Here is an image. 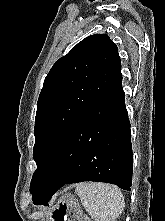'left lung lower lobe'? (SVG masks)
<instances>
[{"label":"left lung lower lobe","mask_w":165,"mask_h":221,"mask_svg":"<svg viewBox=\"0 0 165 221\" xmlns=\"http://www.w3.org/2000/svg\"><path fill=\"white\" fill-rule=\"evenodd\" d=\"M133 156L122 75L71 128L57 148L32 197L48 206L60 187L82 181L132 185Z\"/></svg>","instance_id":"left-lung-lower-lobe-1"}]
</instances>
